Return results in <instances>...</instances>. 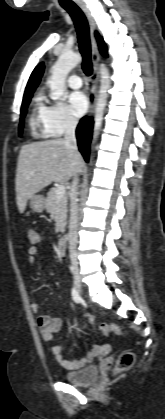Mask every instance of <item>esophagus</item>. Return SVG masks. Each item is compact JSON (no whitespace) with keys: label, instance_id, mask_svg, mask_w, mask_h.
<instances>
[{"label":"esophagus","instance_id":"34e87169","mask_svg":"<svg viewBox=\"0 0 165 419\" xmlns=\"http://www.w3.org/2000/svg\"><path fill=\"white\" fill-rule=\"evenodd\" d=\"M82 11L84 12L88 23H89V30H90V44H91V58H92V77H91V85L89 91V110L88 115L92 114L94 104L96 101L97 96V88H98V81H99V72H98V63L100 61V54L97 48V42L95 38V30L97 29L96 22L92 17L88 8L82 4L79 5Z\"/></svg>","mask_w":165,"mask_h":419}]
</instances>
